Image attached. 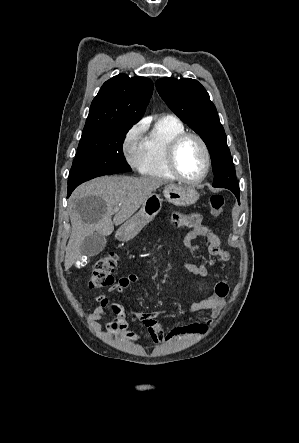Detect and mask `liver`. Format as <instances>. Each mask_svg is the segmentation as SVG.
<instances>
[{
    "label": "liver",
    "instance_id": "1",
    "mask_svg": "<svg viewBox=\"0 0 299 443\" xmlns=\"http://www.w3.org/2000/svg\"><path fill=\"white\" fill-rule=\"evenodd\" d=\"M164 184L165 181L157 178L104 176L77 187L70 198L72 231L66 248L65 269L82 257L80 246L86 237L94 232L104 237L110 235L114 225L129 220L148 196ZM86 198H89L86 202L82 201ZM116 208L118 211L113 212Z\"/></svg>",
    "mask_w": 299,
    "mask_h": 443
}]
</instances>
